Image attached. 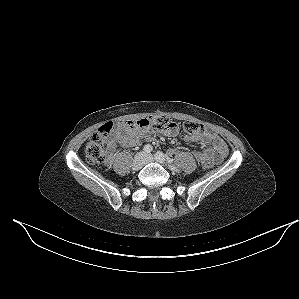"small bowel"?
<instances>
[{
    "label": "small bowel",
    "instance_id": "c3829d8e",
    "mask_svg": "<svg viewBox=\"0 0 299 299\" xmlns=\"http://www.w3.org/2000/svg\"><path fill=\"white\" fill-rule=\"evenodd\" d=\"M169 136H173L176 132L165 133ZM141 138L146 140H152L153 135L147 129L131 128L127 125V122L119 124L116 135L110 139L107 149V157L104 161L105 165H111L113 161V151L116 147V143H120L124 147H135L140 144ZM187 142L210 144L209 148L201 152L194 153L195 159L201 163L204 160H210L213 163L221 162L228 153V148L225 141L215 134L214 132L202 128L201 132L185 137ZM170 153H174L173 150Z\"/></svg>",
    "mask_w": 299,
    "mask_h": 299
}]
</instances>
